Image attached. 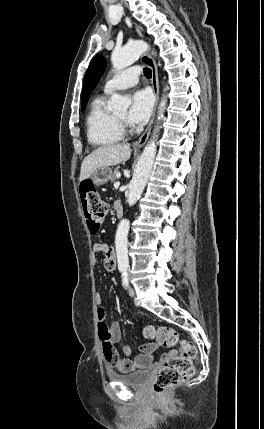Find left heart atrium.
<instances>
[{
	"label": "left heart atrium",
	"mask_w": 264,
	"mask_h": 429,
	"mask_svg": "<svg viewBox=\"0 0 264 429\" xmlns=\"http://www.w3.org/2000/svg\"><path fill=\"white\" fill-rule=\"evenodd\" d=\"M154 104L152 94L148 90H139L132 95L131 106L127 115L128 122L133 126L143 124L149 118Z\"/></svg>",
	"instance_id": "1"
}]
</instances>
